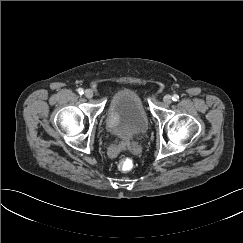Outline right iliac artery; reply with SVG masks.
Returning a JSON list of instances; mask_svg holds the SVG:
<instances>
[{
	"label": "right iliac artery",
	"instance_id": "obj_1",
	"mask_svg": "<svg viewBox=\"0 0 243 243\" xmlns=\"http://www.w3.org/2000/svg\"><path fill=\"white\" fill-rule=\"evenodd\" d=\"M78 93H79L80 95H82V94L84 93L83 89H82V88H79V89H78Z\"/></svg>",
	"mask_w": 243,
	"mask_h": 243
}]
</instances>
